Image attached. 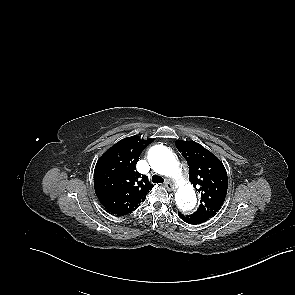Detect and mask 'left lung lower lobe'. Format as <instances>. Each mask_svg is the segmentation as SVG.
Wrapping results in <instances>:
<instances>
[{"label": "left lung lower lobe", "instance_id": "left-lung-lower-lobe-1", "mask_svg": "<svg viewBox=\"0 0 295 295\" xmlns=\"http://www.w3.org/2000/svg\"><path fill=\"white\" fill-rule=\"evenodd\" d=\"M178 215L184 222L188 224H193V225L201 224L211 218V216L197 214V213H193L191 215H183L180 212H178Z\"/></svg>", "mask_w": 295, "mask_h": 295}]
</instances>
